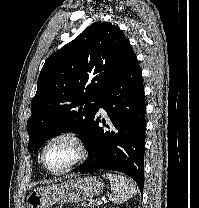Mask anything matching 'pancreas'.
Returning <instances> with one entry per match:
<instances>
[{
	"instance_id": "pancreas-1",
	"label": "pancreas",
	"mask_w": 199,
	"mask_h": 208,
	"mask_svg": "<svg viewBox=\"0 0 199 208\" xmlns=\"http://www.w3.org/2000/svg\"><path fill=\"white\" fill-rule=\"evenodd\" d=\"M82 206H84V207H94V206H96V200H88V202H83Z\"/></svg>"
}]
</instances>
